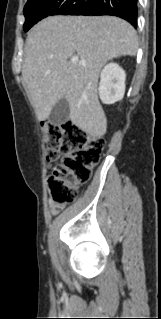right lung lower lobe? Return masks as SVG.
I'll use <instances>...</instances> for the list:
<instances>
[{
	"instance_id": "right-lung-lower-lobe-1",
	"label": "right lung lower lobe",
	"mask_w": 161,
	"mask_h": 319,
	"mask_svg": "<svg viewBox=\"0 0 161 319\" xmlns=\"http://www.w3.org/2000/svg\"><path fill=\"white\" fill-rule=\"evenodd\" d=\"M70 15H113L137 23V0H87Z\"/></svg>"
}]
</instances>
